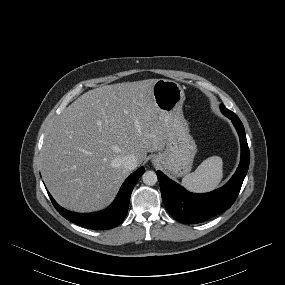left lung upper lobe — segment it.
Masks as SVG:
<instances>
[{"label":"left lung upper lobe","instance_id":"1","mask_svg":"<svg viewBox=\"0 0 285 285\" xmlns=\"http://www.w3.org/2000/svg\"><path fill=\"white\" fill-rule=\"evenodd\" d=\"M220 109L224 115H235V113L227 109L223 104L220 106Z\"/></svg>","mask_w":285,"mask_h":285}]
</instances>
